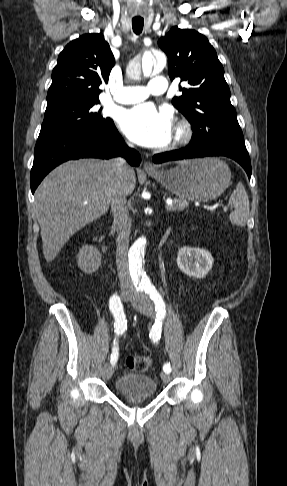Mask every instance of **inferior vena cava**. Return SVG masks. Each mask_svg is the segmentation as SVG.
Here are the masks:
<instances>
[{
	"label": "inferior vena cava",
	"instance_id": "inferior-vena-cava-1",
	"mask_svg": "<svg viewBox=\"0 0 287 486\" xmlns=\"http://www.w3.org/2000/svg\"><path fill=\"white\" fill-rule=\"evenodd\" d=\"M131 146V145H130ZM113 181L110 189V202L114 215V226L117 229L116 266L118 277L123 290H134V285L128 269L127 252L131 233V219L126 207L124 183L128 177V166L123 158L112 160Z\"/></svg>",
	"mask_w": 287,
	"mask_h": 486
}]
</instances>
